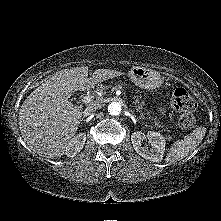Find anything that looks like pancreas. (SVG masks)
<instances>
[{"label":"pancreas","mask_w":221,"mask_h":221,"mask_svg":"<svg viewBox=\"0 0 221 221\" xmlns=\"http://www.w3.org/2000/svg\"><path fill=\"white\" fill-rule=\"evenodd\" d=\"M127 87L126 83H120L114 87H112L111 85H101L98 87V91L101 93H105L106 90H108L109 88H111L112 90H116V89H122ZM133 104L135 105V109L140 113V117L146 121H150L151 122V126L154 125L157 128H162L164 130V132H166V137L168 140H171V137L169 135V129L167 127H165L163 124H160V122L157 120V118L151 117L149 115V112L143 108L144 106V101L141 100V96H135L134 97V101Z\"/></svg>","instance_id":"1"}]
</instances>
